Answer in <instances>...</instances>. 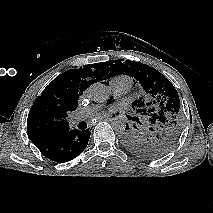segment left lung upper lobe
I'll use <instances>...</instances> for the list:
<instances>
[{"label": "left lung upper lobe", "instance_id": "1", "mask_svg": "<svg viewBox=\"0 0 213 213\" xmlns=\"http://www.w3.org/2000/svg\"><path fill=\"white\" fill-rule=\"evenodd\" d=\"M110 60L99 64L105 79L126 74L143 87L148 100L140 98L133 102L140 119L134 117L138 126H126L122 135L125 147L144 158H157L168 153L177 143L182 127L178 92L172 83L156 69L135 61Z\"/></svg>", "mask_w": 213, "mask_h": 213}]
</instances>
